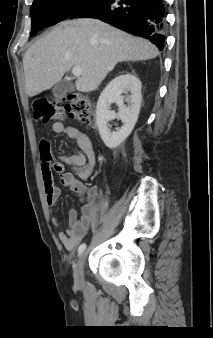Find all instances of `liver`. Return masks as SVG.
Returning a JSON list of instances; mask_svg holds the SVG:
<instances>
[{
  "label": "liver",
  "instance_id": "obj_1",
  "mask_svg": "<svg viewBox=\"0 0 213 338\" xmlns=\"http://www.w3.org/2000/svg\"><path fill=\"white\" fill-rule=\"evenodd\" d=\"M158 55L159 50L150 41L97 19L64 21L26 51L23 57L26 93L33 97L50 89L75 66L82 69L76 89L91 92L117 63L145 61Z\"/></svg>",
  "mask_w": 213,
  "mask_h": 338
}]
</instances>
